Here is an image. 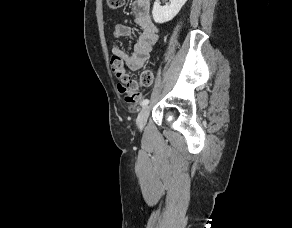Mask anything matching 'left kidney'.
Returning a JSON list of instances; mask_svg holds the SVG:
<instances>
[{"label":"left kidney","instance_id":"left-kidney-1","mask_svg":"<svg viewBox=\"0 0 292 228\" xmlns=\"http://www.w3.org/2000/svg\"><path fill=\"white\" fill-rule=\"evenodd\" d=\"M187 0H170L169 4L160 5L156 0L153 5L152 15L156 23H165L173 19L180 11Z\"/></svg>","mask_w":292,"mask_h":228}]
</instances>
